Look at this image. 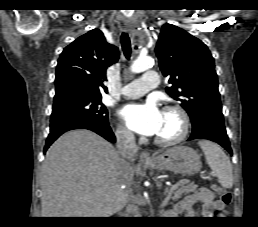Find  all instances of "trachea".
I'll return each mask as SVG.
<instances>
[{"instance_id": "obj_1", "label": "trachea", "mask_w": 258, "mask_h": 227, "mask_svg": "<svg viewBox=\"0 0 258 227\" xmlns=\"http://www.w3.org/2000/svg\"><path fill=\"white\" fill-rule=\"evenodd\" d=\"M121 45L124 55L127 59L131 57V42L127 33H122L121 35Z\"/></svg>"}]
</instances>
